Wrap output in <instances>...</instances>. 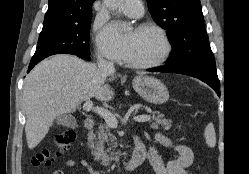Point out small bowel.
Returning a JSON list of instances; mask_svg holds the SVG:
<instances>
[{"instance_id": "small-bowel-1", "label": "small bowel", "mask_w": 249, "mask_h": 174, "mask_svg": "<svg viewBox=\"0 0 249 174\" xmlns=\"http://www.w3.org/2000/svg\"><path fill=\"white\" fill-rule=\"evenodd\" d=\"M156 140L159 144L166 148L174 149L177 152V157L174 160L165 163L154 147L146 145L142 140L137 139V143L146 147V153L150 164L152 165L156 174H188V168L194 161V153L188 146L184 144L175 143L163 133L156 135ZM67 168H78L80 166L86 168L90 174H100L95 171L86 159L79 161L67 160L64 163ZM50 174H65L62 170L51 171Z\"/></svg>"}]
</instances>
